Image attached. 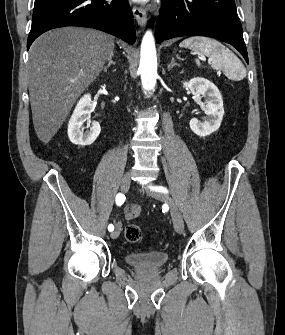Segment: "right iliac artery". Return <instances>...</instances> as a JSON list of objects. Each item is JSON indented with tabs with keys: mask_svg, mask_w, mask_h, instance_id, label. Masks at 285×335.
Instances as JSON below:
<instances>
[{
	"mask_svg": "<svg viewBox=\"0 0 285 335\" xmlns=\"http://www.w3.org/2000/svg\"><path fill=\"white\" fill-rule=\"evenodd\" d=\"M115 201H116V204H117L118 206H121V205L124 203V201H125V195H123V194H121V193L117 194ZM108 230H109L110 232L113 231V230H114V226H113L112 224H110V225L108 226Z\"/></svg>",
	"mask_w": 285,
	"mask_h": 335,
	"instance_id": "1",
	"label": "right iliac artery"
}]
</instances>
